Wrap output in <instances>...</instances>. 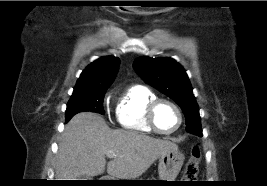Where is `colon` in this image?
<instances>
[{
	"mask_svg": "<svg viewBox=\"0 0 267 186\" xmlns=\"http://www.w3.org/2000/svg\"><path fill=\"white\" fill-rule=\"evenodd\" d=\"M200 160L201 150L199 146L194 145L191 149L190 156L185 164L184 180L186 182H193L196 179Z\"/></svg>",
	"mask_w": 267,
	"mask_h": 186,
	"instance_id": "5ec220e1",
	"label": "colon"
}]
</instances>
